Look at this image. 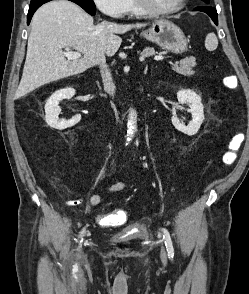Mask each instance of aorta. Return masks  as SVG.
Returning a JSON list of instances; mask_svg holds the SVG:
<instances>
[{
  "label": "aorta",
  "mask_w": 249,
  "mask_h": 294,
  "mask_svg": "<svg viewBox=\"0 0 249 294\" xmlns=\"http://www.w3.org/2000/svg\"><path fill=\"white\" fill-rule=\"evenodd\" d=\"M137 126V112L134 109L129 110L128 121H127V143L131 142L135 136Z\"/></svg>",
  "instance_id": "obj_1"
}]
</instances>
